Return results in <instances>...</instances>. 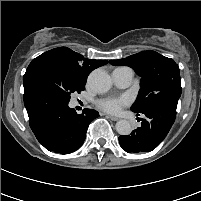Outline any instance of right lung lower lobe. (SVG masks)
Listing matches in <instances>:
<instances>
[{
    "label": "right lung lower lobe",
    "mask_w": 201,
    "mask_h": 201,
    "mask_svg": "<svg viewBox=\"0 0 201 201\" xmlns=\"http://www.w3.org/2000/svg\"><path fill=\"white\" fill-rule=\"evenodd\" d=\"M68 102L58 95L37 88L24 89L30 127L37 140L49 151L61 154L81 147L89 123L99 116L93 109L77 114Z\"/></svg>",
    "instance_id": "obj_1"
}]
</instances>
